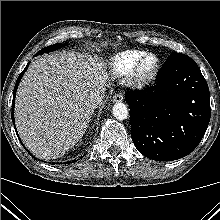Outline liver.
<instances>
[{"mask_svg":"<svg viewBox=\"0 0 220 220\" xmlns=\"http://www.w3.org/2000/svg\"><path fill=\"white\" fill-rule=\"evenodd\" d=\"M110 86L97 57L75 51L46 54L31 63L17 90L15 124L27 149L44 160L63 156L84 135L92 93Z\"/></svg>","mask_w":220,"mask_h":220,"instance_id":"1","label":"liver"}]
</instances>
